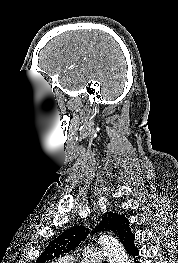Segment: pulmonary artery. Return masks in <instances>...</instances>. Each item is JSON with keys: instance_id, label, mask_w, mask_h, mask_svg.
I'll return each mask as SVG.
<instances>
[{"instance_id": "obj_1", "label": "pulmonary artery", "mask_w": 178, "mask_h": 263, "mask_svg": "<svg viewBox=\"0 0 178 263\" xmlns=\"http://www.w3.org/2000/svg\"><path fill=\"white\" fill-rule=\"evenodd\" d=\"M104 257V254L101 249L97 247H90L83 250L80 258L82 259V263H98ZM59 263H73V258L70 256L63 257L58 260Z\"/></svg>"}]
</instances>
